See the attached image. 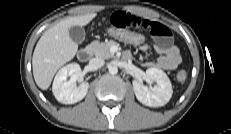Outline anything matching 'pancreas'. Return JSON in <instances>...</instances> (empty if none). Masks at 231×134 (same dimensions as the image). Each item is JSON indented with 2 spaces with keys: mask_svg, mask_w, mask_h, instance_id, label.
<instances>
[{
  "mask_svg": "<svg viewBox=\"0 0 231 134\" xmlns=\"http://www.w3.org/2000/svg\"><path fill=\"white\" fill-rule=\"evenodd\" d=\"M116 42L113 40H110L108 42H99V41H93L89 46L88 49L90 52L100 58L103 59H109L114 57V53L110 51L111 46L115 45Z\"/></svg>",
  "mask_w": 231,
  "mask_h": 134,
  "instance_id": "obj_1",
  "label": "pancreas"
}]
</instances>
